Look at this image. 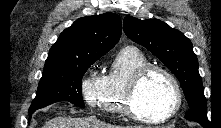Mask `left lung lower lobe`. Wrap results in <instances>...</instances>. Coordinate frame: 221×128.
I'll return each mask as SVG.
<instances>
[{
	"instance_id": "left-lung-lower-lobe-1",
	"label": "left lung lower lobe",
	"mask_w": 221,
	"mask_h": 128,
	"mask_svg": "<svg viewBox=\"0 0 221 128\" xmlns=\"http://www.w3.org/2000/svg\"><path fill=\"white\" fill-rule=\"evenodd\" d=\"M203 128H209L210 127V123H206V122H198Z\"/></svg>"
}]
</instances>
